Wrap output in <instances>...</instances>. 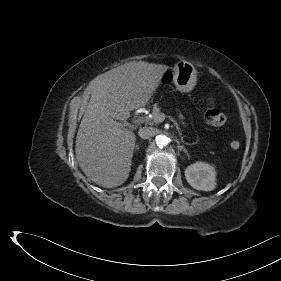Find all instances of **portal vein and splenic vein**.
I'll list each match as a JSON object with an SVG mask.
<instances>
[{"label": "portal vein and splenic vein", "mask_w": 281, "mask_h": 281, "mask_svg": "<svg viewBox=\"0 0 281 281\" xmlns=\"http://www.w3.org/2000/svg\"><path fill=\"white\" fill-rule=\"evenodd\" d=\"M164 119H165V115L162 114V115L158 118V121H159V122H162Z\"/></svg>", "instance_id": "obj_1"}]
</instances>
